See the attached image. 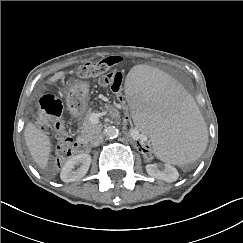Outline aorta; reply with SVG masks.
<instances>
[{
  "label": "aorta",
  "instance_id": "762f6f07",
  "mask_svg": "<svg viewBox=\"0 0 243 243\" xmlns=\"http://www.w3.org/2000/svg\"><path fill=\"white\" fill-rule=\"evenodd\" d=\"M119 134L118 129L115 126H107L104 129V135L108 138H116Z\"/></svg>",
  "mask_w": 243,
  "mask_h": 243
}]
</instances>
